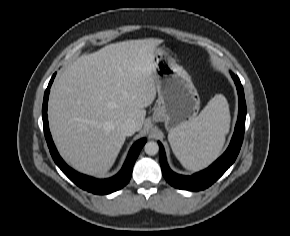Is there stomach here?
Listing matches in <instances>:
<instances>
[{"mask_svg": "<svg viewBox=\"0 0 290 236\" xmlns=\"http://www.w3.org/2000/svg\"><path fill=\"white\" fill-rule=\"evenodd\" d=\"M153 65L158 92L153 120L164 122L170 133L196 118L200 98L190 75L164 49H155Z\"/></svg>", "mask_w": 290, "mask_h": 236, "instance_id": "obj_1", "label": "stomach"}]
</instances>
